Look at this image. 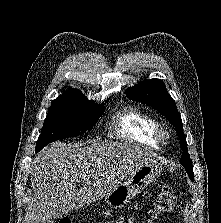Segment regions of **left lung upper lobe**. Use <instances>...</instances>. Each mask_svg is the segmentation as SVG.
I'll use <instances>...</instances> for the list:
<instances>
[{
	"label": "left lung upper lobe",
	"mask_w": 221,
	"mask_h": 223,
	"mask_svg": "<svg viewBox=\"0 0 221 223\" xmlns=\"http://www.w3.org/2000/svg\"><path fill=\"white\" fill-rule=\"evenodd\" d=\"M126 95L133 101L142 102L151 106L175 126L176 133L180 138V146L183 151L180 163L185 168L191 181H194L193 166L187 150L181 116L176 108L174 100L168 94L163 81L156 78L142 81L139 84L126 89Z\"/></svg>",
	"instance_id": "1"
}]
</instances>
